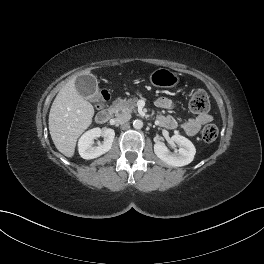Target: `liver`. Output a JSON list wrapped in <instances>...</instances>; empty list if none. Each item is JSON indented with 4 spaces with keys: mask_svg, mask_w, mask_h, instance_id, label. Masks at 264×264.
Returning a JSON list of instances; mask_svg holds the SVG:
<instances>
[{
    "mask_svg": "<svg viewBox=\"0 0 264 264\" xmlns=\"http://www.w3.org/2000/svg\"><path fill=\"white\" fill-rule=\"evenodd\" d=\"M89 74L85 72L82 75ZM76 76L55 97L49 113V131L56 148L73 157L78 137L90 126L94 116L92 104L76 90Z\"/></svg>",
    "mask_w": 264,
    "mask_h": 264,
    "instance_id": "1",
    "label": "liver"
}]
</instances>
